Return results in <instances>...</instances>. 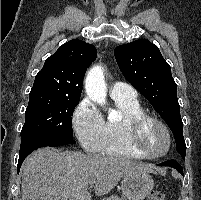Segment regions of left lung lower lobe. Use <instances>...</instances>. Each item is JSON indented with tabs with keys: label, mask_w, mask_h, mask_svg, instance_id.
<instances>
[{
	"label": "left lung lower lobe",
	"mask_w": 201,
	"mask_h": 200,
	"mask_svg": "<svg viewBox=\"0 0 201 200\" xmlns=\"http://www.w3.org/2000/svg\"><path fill=\"white\" fill-rule=\"evenodd\" d=\"M159 166H170L175 168L178 172H180L183 175V168L182 166L176 161V160H168L165 162H162L158 164Z\"/></svg>",
	"instance_id": "1"
}]
</instances>
